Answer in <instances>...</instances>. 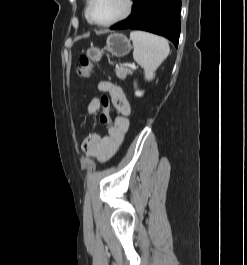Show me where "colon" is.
I'll return each mask as SVG.
<instances>
[{"label": "colon", "mask_w": 247, "mask_h": 265, "mask_svg": "<svg viewBox=\"0 0 247 265\" xmlns=\"http://www.w3.org/2000/svg\"><path fill=\"white\" fill-rule=\"evenodd\" d=\"M93 70L92 63L87 56H82L80 58L79 66L77 68V73L82 78H88ZM100 121L107 125L111 121L110 115V102L108 98L103 100L102 113L100 115Z\"/></svg>", "instance_id": "5ec220e1"}]
</instances>
